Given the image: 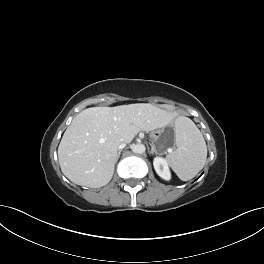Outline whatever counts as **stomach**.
Segmentation results:
<instances>
[{
  "mask_svg": "<svg viewBox=\"0 0 264 264\" xmlns=\"http://www.w3.org/2000/svg\"><path fill=\"white\" fill-rule=\"evenodd\" d=\"M154 142V148L158 152H167L171 149L174 139L175 131L171 127H164L161 131H153L150 135Z\"/></svg>",
  "mask_w": 264,
  "mask_h": 264,
  "instance_id": "obj_1",
  "label": "stomach"
}]
</instances>
